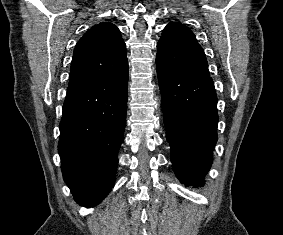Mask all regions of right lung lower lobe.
<instances>
[{
    "label": "right lung lower lobe",
    "instance_id": "1",
    "mask_svg": "<svg viewBox=\"0 0 283 235\" xmlns=\"http://www.w3.org/2000/svg\"><path fill=\"white\" fill-rule=\"evenodd\" d=\"M127 94L128 70L67 91L58 151L63 178L81 206L97 205L114 185Z\"/></svg>",
    "mask_w": 283,
    "mask_h": 235
}]
</instances>
